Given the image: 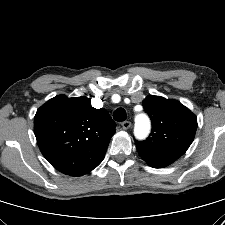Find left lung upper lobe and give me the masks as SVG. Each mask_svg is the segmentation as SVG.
I'll list each match as a JSON object with an SVG mask.
<instances>
[{"instance_id":"obj_1","label":"left lung upper lobe","mask_w":225,"mask_h":225,"mask_svg":"<svg viewBox=\"0 0 225 225\" xmlns=\"http://www.w3.org/2000/svg\"><path fill=\"white\" fill-rule=\"evenodd\" d=\"M143 107L152 121V132L142 142L135 140L138 153L149 166L166 167L191 145L197 118L180 102L160 96H147Z\"/></svg>"}]
</instances>
